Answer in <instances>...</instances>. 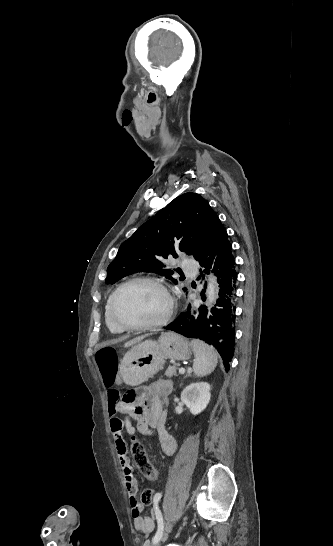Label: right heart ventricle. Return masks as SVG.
<instances>
[{
    "instance_id": "obj_1",
    "label": "right heart ventricle",
    "mask_w": 333,
    "mask_h": 546,
    "mask_svg": "<svg viewBox=\"0 0 333 546\" xmlns=\"http://www.w3.org/2000/svg\"><path fill=\"white\" fill-rule=\"evenodd\" d=\"M112 294H110L106 300L105 308H104V317H105V323L107 328L112 334L119 335L123 333L124 331L121 330L119 327H117L114 322L112 321L111 315H110V300H111Z\"/></svg>"
}]
</instances>
